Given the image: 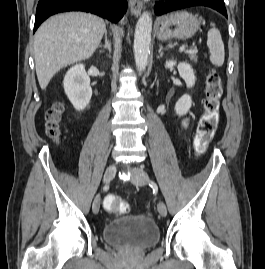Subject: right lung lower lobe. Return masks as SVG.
Masks as SVG:
<instances>
[{
  "instance_id": "obj_1",
  "label": "right lung lower lobe",
  "mask_w": 265,
  "mask_h": 269,
  "mask_svg": "<svg viewBox=\"0 0 265 269\" xmlns=\"http://www.w3.org/2000/svg\"><path fill=\"white\" fill-rule=\"evenodd\" d=\"M126 10V0H39L34 32L45 19L59 12H91L116 23Z\"/></svg>"
}]
</instances>
